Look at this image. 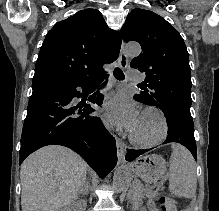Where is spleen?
<instances>
[{
  "label": "spleen",
  "mask_w": 219,
  "mask_h": 211,
  "mask_svg": "<svg viewBox=\"0 0 219 211\" xmlns=\"http://www.w3.org/2000/svg\"><path fill=\"white\" fill-rule=\"evenodd\" d=\"M172 147L169 189L177 197H194L197 187L195 161L184 145L173 143Z\"/></svg>",
  "instance_id": "obj_1"
}]
</instances>
